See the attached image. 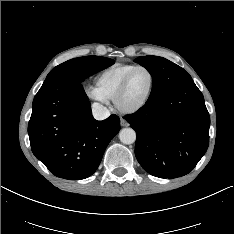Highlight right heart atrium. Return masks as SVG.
Instances as JSON below:
<instances>
[{
    "label": "right heart atrium",
    "mask_w": 234,
    "mask_h": 234,
    "mask_svg": "<svg viewBox=\"0 0 234 234\" xmlns=\"http://www.w3.org/2000/svg\"><path fill=\"white\" fill-rule=\"evenodd\" d=\"M86 94L89 98L98 101L100 103L107 104L108 100L101 95V93L98 91V89L94 86L88 87L86 89Z\"/></svg>",
    "instance_id": "right-heart-atrium-1"
}]
</instances>
